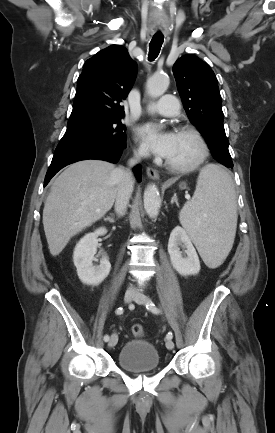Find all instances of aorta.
<instances>
[{
  "label": "aorta",
  "instance_id": "aorta-1",
  "mask_svg": "<svg viewBox=\"0 0 275 433\" xmlns=\"http://www.w3.org/2000/svg\"><path fill=\"white\" fill-rule=\"evenodd\" d=\"M169 86V78L166 75H154L148 79L146 84L147 93L151 98H158L165 93ZM144 209L150 218L159 214L161 198L158 188L149 184L144 191Z\"/></svg>",
  "mask_w": 275,
  "mask_h": 433
}]
</instances>
